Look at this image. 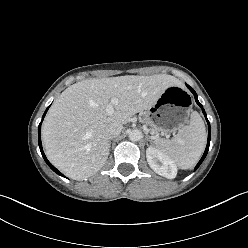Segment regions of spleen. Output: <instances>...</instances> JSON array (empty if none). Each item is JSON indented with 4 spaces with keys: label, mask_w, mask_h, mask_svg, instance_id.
<instances>
[{
    "label": "spleen",
    "mask_w": 248,
    "mask_h": 248,
    "mask_svg": "<svg viewBox=\"0 0 248 248\" xmlns=\"http://www.w3.org/2000/svg\"><path fill=\"white\" fill-rule=\"evenodd\" d=\"M206 130L201 116L192 112L189 125L178 130L171 140H155L161 150L181 169L192 168L199 160L206 145Z\"/></svg>",
    "instance_id": "obj_1"
}]
</instances>
